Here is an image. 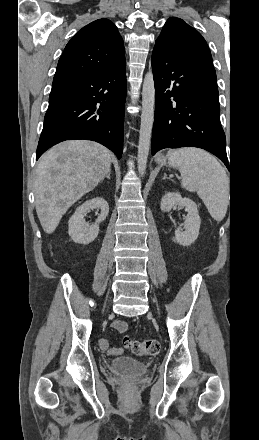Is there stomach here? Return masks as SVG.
<instances>
[{
    "mask_svg": "<svg viewBox=\"0 0 259 440\" xmlns=\"http://www.w3.org/2000/svg\"><path fill=\"white\" fill-rule=\"evenodd\" d=\"M156 162L159 165H165V157H164V155H162V154L158 155L157 158H156Z\"/></svg>",
    "mask_w": 259,
    "mask_h": 440,
    "instance_id": "obj_1",
    "label": "stomach"
}]
</instances>
